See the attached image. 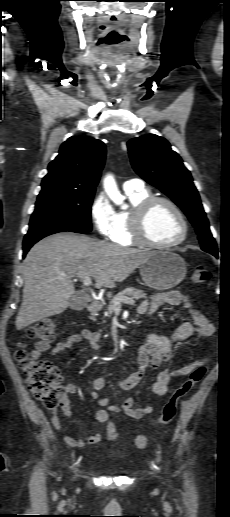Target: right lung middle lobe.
Returning <instances> with one entry per match:
<instances>
[{
  "label": "right lung middle lobe",
  "mask_w": 230,
  "mask_h": 517,
  "mask_svg": "<svg viewBox=\"0 0 230 517\" xmlns=\"http://www.w3.org/2000/svg\"><path fill=\"white\" fill-rule=\"evenodd\" d=\"M93 197L94 192L38 197L27 234L58 227L91 231Z\"/></svg>",
  "instance_id": "right-lung-middle-lobe-1"
}]
</instances>
